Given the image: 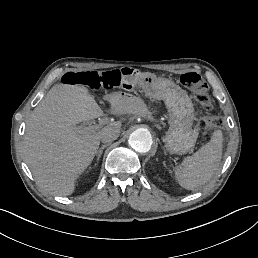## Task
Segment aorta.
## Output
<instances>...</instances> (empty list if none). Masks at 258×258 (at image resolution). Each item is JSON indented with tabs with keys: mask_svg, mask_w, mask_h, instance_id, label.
Masks as SVG:
<instances>
[{
	"mask_svg": "<svg viewBox=\"0 0 258 258\" xmlns=\"http://www.w3.org/2000/svg\"><path fill=\"white\" fill-rule=\"evenodd\" d=\"M129 145L139 153L148 152L151 149L153 140L147 129H137L129 136Z\"/></svg>",
	"mask_w": 258,
	"mask_h": 258,
	"instance_id": "762f6f07",
	"label": "aorta"
}]
</instances>
